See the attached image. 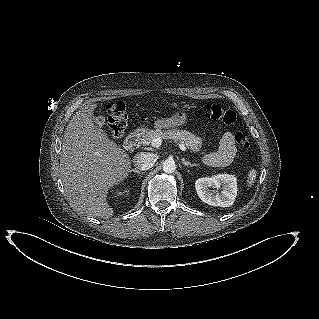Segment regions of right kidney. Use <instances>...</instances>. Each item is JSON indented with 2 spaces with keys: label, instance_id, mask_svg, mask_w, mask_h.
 I'll return each instance as SVG.
<instances>
[{
  "label": "right kidney",
  "instance_id": "right-kidney-1",
  "mask_svg": "<svg viewBox=\"0 0 319 319\" xmlns=\"http://www.w3.org/2000/svg\"><path fill=\"white\" fill-rule=\"evenodd\" d=\"M125 192H127V191H125ZM125 192L117 191L116 194H117V196H121Z\"/></svg>",
  "mask_w": 319,
  "mask_h": 319
}]
</instances>
